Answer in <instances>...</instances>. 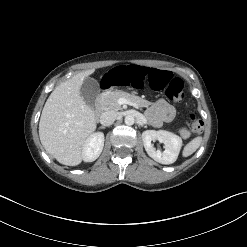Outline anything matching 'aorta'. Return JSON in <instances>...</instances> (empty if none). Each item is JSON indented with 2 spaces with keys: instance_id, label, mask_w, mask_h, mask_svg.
Here are the masks:
<instances>
[{
  "instance_id": "1",
  "label": "aorta",
  "mask_w": 247,
  "mask_h": 247,
  "mask_svg": "<svg viewBox=\"0 0 247 247\" xmlns=\"http://www.w3.org/2000/svg\"><path fill=\"white\" fill-rule=\"evenodd\" d=\"M124 121L126 125H133L135 123V118L133 115H127Z\"/></svg>"
}]
</instances>
